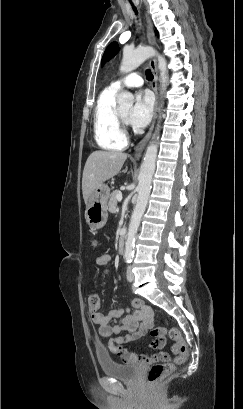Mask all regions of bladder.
Here are the masks:
<instances>
[{
	"label": "bladder",
	"instance_id": "31cf9c89",
	"mask_svg": "<svg viewBox=\"0 0 243 409\" xmlns=\"http://www.w3.org/2000/svg\"><path fill=\"white\" fill-rule=\"evenodd\" d=\"M98 363L105 375L120 381H135L141 372L139 364H122L111 358H98Z\"/></svg>",
	"mask_w": 243,
	"mask_h": 409
}]
</instances>
